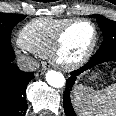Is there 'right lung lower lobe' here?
Returning a JSON list of instances; mask_svg holds the SVG:
<instances>
[{"label":"right lung lower lobe","mask_w":116,"mask_h":116,"mask_svg":"<svg viewBox=\"0 0 116 116\" xmlns=\"http://www.w3.org/2000/svg\"><path fill=\"white\" fill-rule=\"evenodd\" d=\"M14 51L0 61V116H24L27 110L26 87L34 78L13 63Z\"/></svg>","instance_id":"right-lung-lower-lobe-1"}]
</instances>
